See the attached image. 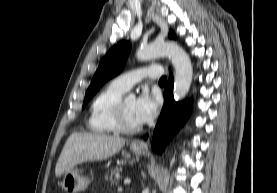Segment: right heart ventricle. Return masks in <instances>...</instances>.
<instances>
[{
  "instance_id": "1",
  "label": "right heart ventricle",
  "mask_w": 277,
  "mask_h": 193,
  "mask_svg": "<svg viewBox=\"0 0 277 193\" xmlns=\"http://www.w3.org/2000/svg\"><path fill=\"white\" fill-rule=\"evenodd\" d=\"M125 91L113 82L105 86L93 99L89 107L88 129L96 134H114L117 132L113 110Z\"/></svg>"
}]
</instances>
